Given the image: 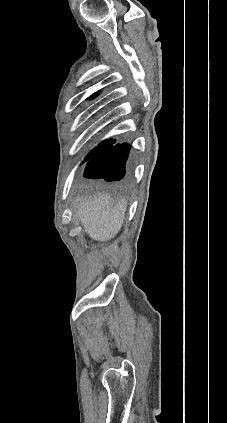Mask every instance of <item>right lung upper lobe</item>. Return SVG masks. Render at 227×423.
Segmentation results:
<instances>
[{
    "mask_svg": "<svg viewBox=\"0 0 227 423\" xmlns=\"http://www.w3.org/2000/svg\"><path fill=\"white\" fill-rule=\"evenodd\" d=\"M115 141H111V140H109V141H104L103 143H101L96 149H94L93 151H91L90 152V154L89 155H93V154H98V153H100V152H102V151H104V150H106V149H109V148H111L112 147V144L114 143Z\"/></svg>",
    "mask_w": 227,
    "mask_h": 423,
    "instance_id": "right-lung-upper-lobe-1",
    "label": "right lung upper lobe"
}]
</instances>
